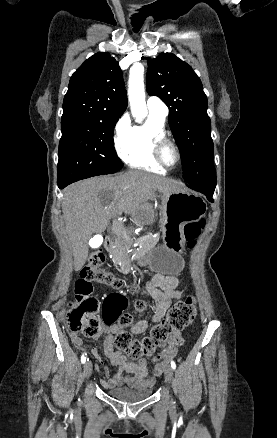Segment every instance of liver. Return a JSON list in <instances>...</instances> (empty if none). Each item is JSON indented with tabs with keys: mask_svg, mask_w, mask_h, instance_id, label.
<instances>
[{
	"mask_svg": "<svg viewBox=\"0 0 277 438\" xmlns=\"http://www.w3.org/2000/svg\"><path fill=\"white\" fill-rule=\"evenodd\" d=\"M173 180L149 172L129 170L116 178H89L65 188L63 220L74 256V268L81 270L88 258V240L102 234L119 210L135 214L154 192H174Z\"/></svg>",
	"mask_w": 277,
	"mask_h": 438,
	"instance_id": "obj_1",
	"label": "liver"
}]
</instances>
